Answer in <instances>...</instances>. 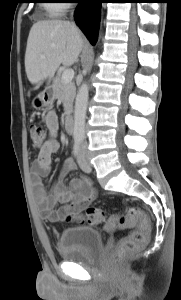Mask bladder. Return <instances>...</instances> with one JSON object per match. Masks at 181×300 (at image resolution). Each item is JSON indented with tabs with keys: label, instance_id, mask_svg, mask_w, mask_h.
<instances>
[{
	"label": "bladder",
	"instance_id": "obj_1",
	"mask_svg": "<svg viewBox=\"0 0 181 300\" xmlns=\"http://www.w3.org/2000/svg\"><path fill=\"white\" fill-rule=\"evenodd\" d=\"M103 245L101 232L85 226L64 229L58 240L59 253L68 261H91L100 255Z\"/></svg>",
	"mask_w": 181,
	"mask_h": 300
}]
</instances>
